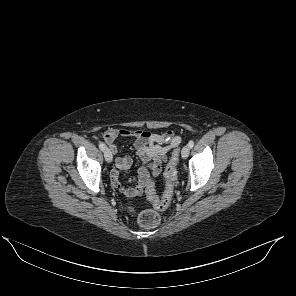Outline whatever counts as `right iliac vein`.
<instances>
[{
	"mask_svg": "<svg viewBox=\"0 0 296 296\" xmlns=\"http://www.w3.org/2000/svg\"><path fill=\"white\" fill-rule=\"evenodd\" d=\"M104 158L108 163L112 162L113 156H112V153L110 152V150L108 148H106L104 150Z\"/></svg>",
	"mask_w": 296,
	"mask_h": 296,
	"instance_id": "1",
	"label": "right iliac vein"
}]
</instances>
